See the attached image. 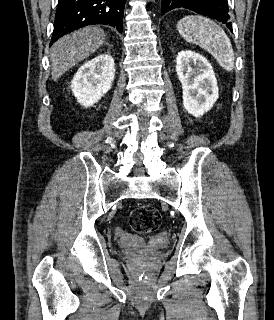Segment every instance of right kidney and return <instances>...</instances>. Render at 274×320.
Listing matches in <instances>:
<instances>
[{"mask_svg": "<svg viewBox=\"0 0 274 320\" xmlns=\"http://www.w3.org/2000/svg\"><path fill=\"white\" fill-rule=\"evenodd\" d=\"M114 78V58L110 54H100L79 68L71 82V90L81 106L90 108L111 90Z\"/></svg>", "mask_w": 274, "mask_h": 320, "instance_id": "1", "label": "right kidney"}]
</instances>
